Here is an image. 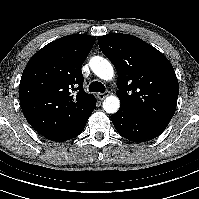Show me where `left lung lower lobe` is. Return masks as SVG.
<instances>
[{"mask_svg": "<svg viewBox=\"0 0 199 199\" xmlns=\"http://www.w3.org/2000/svg\"><path fill=\"white\" fill-rule=\"evenodd\" d=\"M111 120L119 134L133 142L154 139L167 127L165 124L138 115L123 105L117 113L111 115Z\"/></svg>", "mask_w": 199, "mask_h": 199, "instance_id": "0a47b994", "label": "left lung lower lobe"}]
</instances>
